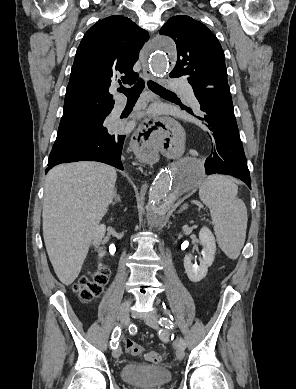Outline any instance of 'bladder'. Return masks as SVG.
I'll list each match as a JSON object with an SVG mask.
<instances>
[{
	"label": "bladder",
	"instance_id": "1",
	"mask_svg": "<svg viewBox=\"0 0 296 389\" xmlns=\"http://www.w3.org/2000/svg\"><path fill=\"white\" fill-rule=\"evenodd\" d=\"M121 378L129 385L144 389H154L171 381L172 375L163 366L148 365L138 362L125 364L120 372Z\"/></svg>",
	"mask_w": 296,
	"mask_h": 389
}]
</instances>
